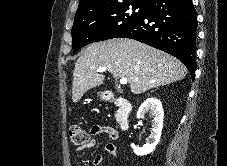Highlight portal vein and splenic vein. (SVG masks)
Masks as SVG:
<instances>
[{
	"label": "portal vein and splenic vein",
	"instance_id": "portal-vein-and-splenic-vein-1",
	"mask_svg": "<svg viewBox=\"0 0 227 166\" xmlns=\"http://www.w3.org/2000/svg\"><path fill=\"white\" fill-rule=\"evenodd\" d=\"M107 69L105 67H99L97 69V72H105ZM128 80L126 78H121L120 79V84L124 85L127 84Z\"/></svg>",
	"mask_w": 227,
	"mask_h": 166
}]
</instances>
